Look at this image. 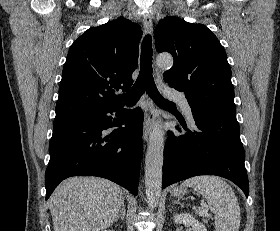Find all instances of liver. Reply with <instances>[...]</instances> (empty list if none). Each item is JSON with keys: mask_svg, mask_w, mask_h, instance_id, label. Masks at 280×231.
Here are the masks:
<instances>
[{"mask_svg": "<svg viewBox=\"0 0 280 231\" xmlns=\"http://www.w3.org/2000/svg\"><path fill=\"white\" fill-rule=\"evenodd\" d=\"M124 201L122 187L102 177H68L49 201L54 231H100L112 225Z\"/></svg>", "mask_w": 280, "mask_h": 231, "instance_id": "obj_1", "label": "liver"}]
</instances>
